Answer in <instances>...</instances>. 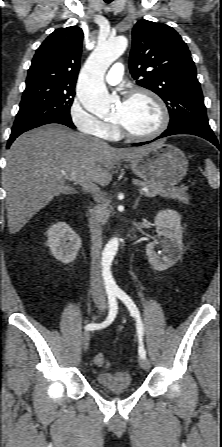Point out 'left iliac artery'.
<instances>
[{
  "mask_svg": "<svg viewBox=\"0 0 222 447\" xmlns=\"http://www.w3.org/2000/svg\"><path fill=\"white\" fill-rule=\"evenodd\" d=\"M114 293L127 306L131 315L136 318L137 334L139 338V355L140 357H146V351L143 345L144 326L141 321L139 310L133 300L123 290L116 289Z\"/></svg>",
  "mask_w": 222,
  "mask_h": 447,
  "instance_id": "44dca946",
  "label": "left iliac artery"
}]
</instances>
